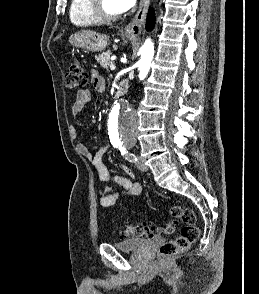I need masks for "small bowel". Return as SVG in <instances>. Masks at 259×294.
Listing matches in <instances>:
<instances>
[{
    "mask_svg": "<svg viewBox=\"0 0 259 294\" xmlns=\"http://www.w3.org/2000/svg\"><path fill=\"white\" fill-rule=\"evenodd\" d=\"M92 84L97 92L102 93L105 91V82L98 75L97 72L92 73ZM90 100V90H78L75 100L72 104V114L74 116L79 115L83 111L85 106L90 102ZM70 134L72 137H76V129L74 127L70 128ZM77 150L80 154L90 160L91 164L97 172L99 179L102 182H114L120 187L119 189L111 190L108 186L101 185V206L110 207L124 197L140 195L142 191V185L140 182L132 180L133 173L128 167H123L124 175H115L112 174L110 170L104 165L103 156L107 151V146L102 147L100 150L93 154L86 144L79 143L77 145Z\"/></svg>",
    "mask_w": 259,
    "mask_h": 294,
    "instance_id": "small-bowel-1",
    "label": "small bowel"
}]
</instances>
